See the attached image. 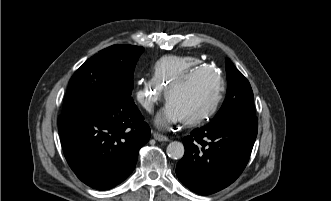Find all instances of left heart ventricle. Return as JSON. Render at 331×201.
Here are the masks:
<instances>
[{"label": "left heart ventricle", "mask_w": 331, "mask_h": 201, "mask_svg": "<svg viewBox=\"0 0 331 201\" xmlns=\"http://www.w3.org/2000/svg\"><path fill=\"white\" fill-rule=\"evenodd\" d=\"M219 82L211 72L197 74L183 89L174 93L172 106L182 116L191 118L204 111L214 100Z\"/></svg>", "instance_id": "obj_1"}]
</instances>
